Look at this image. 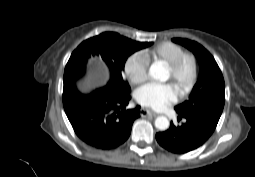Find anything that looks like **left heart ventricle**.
Returning a JSON list of instances; mask_svg holds the SVG:
<instances>
[{
	"instance_id": "obj_1",
	"label": "left heart ventricle",
	"mask_w": 255,
	"mask_h": 177,
	"mask_svg": "<svg viewBox=\"0 0 255 177\" xmlns=\"http://www.w3.org/2000/svg\"><path fill=\"white\" fill-rule=\"evenodd\" d=\"M188 72H189V65H185V67H184V69H183V71L181 73V77L182 78L185 77L188 74ZM166 73H167V77L168 78L172 77L171 72H170V70L168 68H166Z\"/></svg>"
}]
</instances>
